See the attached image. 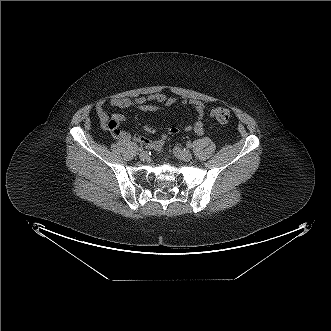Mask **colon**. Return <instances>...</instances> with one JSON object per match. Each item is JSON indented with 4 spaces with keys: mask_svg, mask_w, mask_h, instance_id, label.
I'll return each instance as SVG.
<instances>
[{
    "mask_svg": "<svg viewBox=\"0 0 331 331\" xmlns=\"http://www.w3.org/2000/svg\"><path fill=\"white\" fill-rule=\"evenodd\" d=\"M210 116L221 124H227L231 119L229 109L221 106L212 107L209 111Z\"/></svg>",
    "mask_w": 331,
    "mask_h": 331,
    "instance_id": "obj_1",
    "label": "colon"
}]
</instances>
